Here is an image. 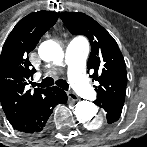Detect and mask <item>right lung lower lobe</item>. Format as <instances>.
Here are the masks:
<instances>
[{"label": "right lung lower lobe", "mask_w": 147, "mask_h": 147, "mask_svg": "<svg viewBox=\"0 0 147 147\" xmlns=\"http://www.w3.org/2000/svg\"><path fill=\"white\" fill-rule=\"evenodd\" d=\"M67 102L66 93L57 87L47 89L44 96L39 99L28 111L20 117L9 121L13 128L27 134H38L53 112L55 105Z\"/></svg>", "instance_id": "obj_1"}]
</instances>
